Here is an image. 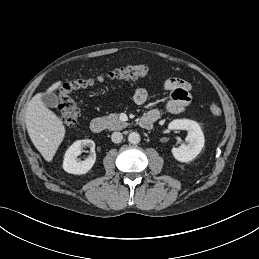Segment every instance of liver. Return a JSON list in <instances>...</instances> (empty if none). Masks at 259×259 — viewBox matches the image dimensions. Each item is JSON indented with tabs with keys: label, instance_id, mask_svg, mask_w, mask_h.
<instances>
[{
	"label": "liver",
	"instance_id": "6515ba94",
	"mask_svg": "<svg viewBox=\"0 0 259 259\" xmlns=\"http://www.w3.org/2000/svg\"><path fill=\"white\" fill-rule=\"evenodd\" d=\"M61 81L47 90L51 93L58 89ZM42 93L36 94L28 103L25 123L29 137L44 159L50 162L65 136V127L61 119L42 102Z\"/></svg>",
	"mask_w": 259,
	"mask_h": 259
}]
</instances>
